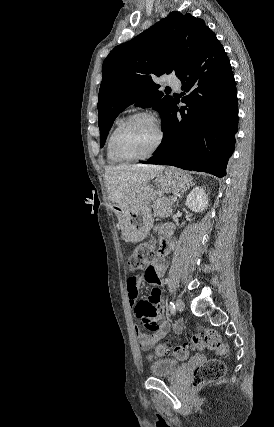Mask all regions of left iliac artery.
Masks as SVG:
<instances>
[{"label":"left iliac artery","mask_w":274,"mask_h":427,"mask_svg":"<svg viewBox=\"0 0 274 427\" xmlns=\"http://www.w3.org/2000/svg\"><path fill=\"white\" fill-rule=\"evenodd\" d=\"M169 309H170V312L172 314L175 313V305H174V303L172 301H170V303H169Z\"/></svg>","instance_id":"obj_1"}]
</instances>
